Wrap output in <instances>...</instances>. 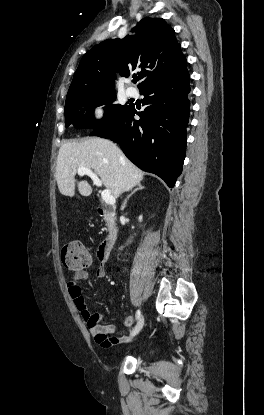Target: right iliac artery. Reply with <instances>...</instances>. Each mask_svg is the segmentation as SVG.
<instances>
[{
    "instance_id": "obj_1",
    "label": "right iliac artery",
    "mask_w": 264,
    "mask_h": 415,
    "mask_svg": "<svg viewBox=\"0 0 264 415\" xmlns=\"http://www.w3.org/2000/svg\"><path fill=\"white\" fill-rule=\"evenodd\" d=\"M140 316H141V311L140 310H137V312H136V320H138L140 318Z\"/></svg>"
}]
</instances>
